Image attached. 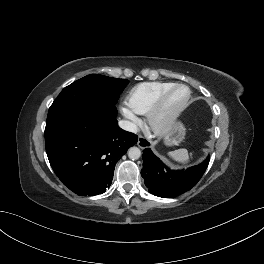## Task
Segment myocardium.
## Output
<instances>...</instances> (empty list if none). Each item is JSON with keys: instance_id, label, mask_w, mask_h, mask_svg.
<instances>
[{"instance_id": "obj_1", "label": "myocardium", "mask_w": 264, "mask_h": 264, "mask_svg": "<svg viewBox=\"0 0 264 264\" xmlns=\"http://www.w3.org/2000/svg\"><path fill=\"white\" fill-rule=\"evenodd\" d=\"M178 88H185L187 90V97L185 98L183 103L180 106H178L174 111H172L168 115H164L163 114L164 108L169 96L174 90ZM190 98H191V90L185 84H173L172 86L164 90L159 95V97L157 98V100L155 101V103L152 105V107L147 113L148 124L152 129V131L160 135L169 132L176 124L182 112L187 107Z\"/></svg>"}]
</instances>
